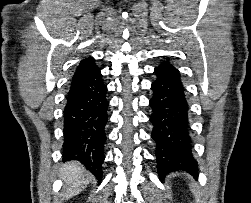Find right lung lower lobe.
Instances as JSON below:
<instances>
[{"label":"right lung lower lobe","mask_w":251,"mask_h":203,"mask_svg":"<svg viewBox=\"0 0 251 203\" xmlns=\"http://www.w3.org/2000/svg\"><path fill=\"white\" fill-rule=\"evenodd\" d=\"M107 87L94 66L72 79L63 111V158L80 161L100 183L108 122Z\"/></svg>","instance_id":"obj_1"}]
</instances>
